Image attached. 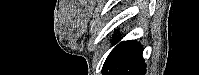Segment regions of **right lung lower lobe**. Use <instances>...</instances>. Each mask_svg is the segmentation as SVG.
I'll return each mask as SVG.
<instances>
[{
	"instance_id": "right-lung-lower-lobe-1",
	"label": "right lung lower lobe",
	"mask_w": 199,
	"mask_h": 75,
	"mask_svg": "<svg viewBox=\"0 0 199 75\" xmlns=\"http://www.w3.org/2000/svg\"><path fill=\"white\" fill-rule=\"evenodd\" d=\"M120 39L116 38L114 43ZM143 47L136 41H125L118 44L107 57L103 75H145L146 65L142 57Z\"/></svg>"
}]
</instances>
